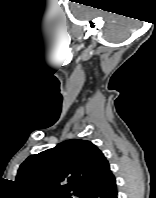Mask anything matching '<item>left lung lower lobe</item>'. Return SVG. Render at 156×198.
<instances>
[{
    "label": "left lung lower lobe",
    "instance_id": "left-lung-lower-lobe-1",
    "mask_svg": "<svg viewBox=\"0 0 156 198\" xmlns=\"http://www.w3.org/2000/svg\"><path fill=\"white\" fill-rule=\"evenodd\" d=\"M116 180L110 172L100 185L86 192L82 198H117Z\"/></svg>",
    "mask_w": 156,
    "mask_h": 198
}]
</instances>
